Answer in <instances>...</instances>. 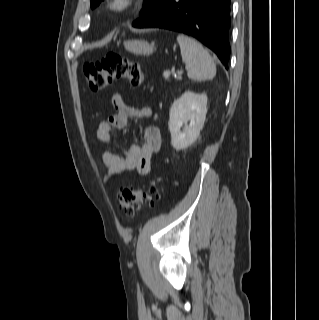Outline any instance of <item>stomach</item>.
Returning a JSON list of instances; mask_svg holds the SVG:
<instances>
[{"instance_id": "obj_1", "label": "stomach", "mask_w": 319, "mask_h": 320, "mask_svg": "<svg viewBox=\"0 0 319 320\" xmlns=\"http://www.w3.org/2000/svg\"><path fill=\"white\" fill-rule=\"evenodd\" d=\"M123 44L127 51L136 55H150L155 50L153 45L144 40H127Z\"/></svg>"}]
</instances>
